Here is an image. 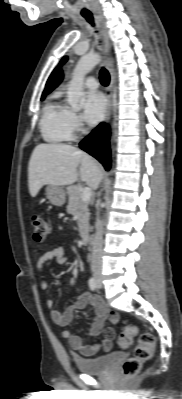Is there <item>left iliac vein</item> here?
I'll return each instance as SVG.
<instances>
[{"label":"left iliac vein","instance_id":"left-iliac-vein-1","mask_svg":"<svg viewBox=\"0 0 182 399\" xmlns=\"http://www.w3.org/2000/svg\"><path fill=\"white\" fill-rule=\"evenodd\" d=\"M98 287H99V288L101 287L100 283L98 284Z\"/></svg>","mask_w":182,"mask_h":399}]
</instances>
